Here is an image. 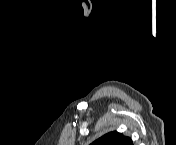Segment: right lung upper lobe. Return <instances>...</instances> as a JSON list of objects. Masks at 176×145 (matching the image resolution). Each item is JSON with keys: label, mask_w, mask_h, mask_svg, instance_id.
Masks as SVG:
<instances>
[{"label": "right lung upper lobe", "mask_w": 176, "mask_h": 145, "mask_svg": "<svg viewBox=\"0 0 176 145\" xmlns=\"http://www.w3.org/2000/svg\"><path fill=\"white\" fill-rule=\"evenodd\" d=\"M91 145H133V143L129 137H125L121 133L114 131L100 137Z\"/></svg>", "instance_id": "cb5924a9"}]
</instances>
